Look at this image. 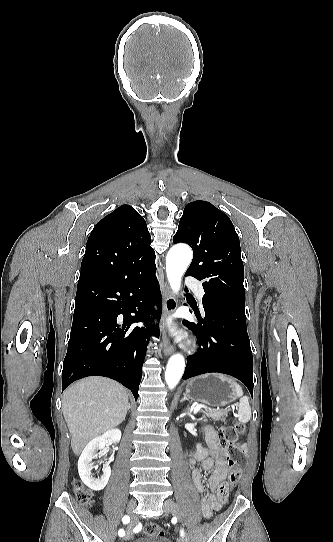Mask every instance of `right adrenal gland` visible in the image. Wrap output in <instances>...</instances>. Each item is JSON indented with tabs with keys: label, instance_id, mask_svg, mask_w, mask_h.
<instances>
[{
	"label": "right adrenal gland",
	"instance_id": "2a0ac1e0",
	"mask_svg": "<svg viewBox=\"0 0 333 542\" xmlns=\"http://www.w3.org/2000/svg\"><path fill=\"white\" fill-rule=\"evenodd\" d=\"M128 408H129V410H130V408H131L130 404H128Z\"/></svg>",
	"mask_w": 333,
	"mask_h": 542
}]
</instances>
